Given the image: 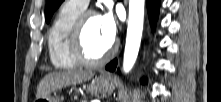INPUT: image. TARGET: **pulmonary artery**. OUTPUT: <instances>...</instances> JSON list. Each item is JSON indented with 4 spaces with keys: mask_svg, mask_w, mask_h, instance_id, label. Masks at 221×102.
I'll list each match as a JSON object with an SVG mask.
<instances>
[{
    "mask_svg": "<svg viewBox=\"0 0 221 102\" xmlns=\"http://www.w3.org/2000/svg\"><path fill=\"white\" fill-rule=\"evenodd\" d=\"M73 3L77 4L82 8H86L89 4V0H71Z\"/></svg>",
    "mask_w": 221,
    "mask_h": 102,
    "instance_id": "obj_1",
    "label": "pulmonary artery"
}]
</instances>
